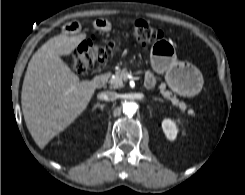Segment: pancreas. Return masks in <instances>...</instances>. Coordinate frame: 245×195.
Listing matches in <instances>:
<instances>
[{
  "label": "pancreas",
  "mask_w": 245,
  "mask_h": 195,
  "mask_svg": "<svg viewBox=\"0 0 245 195\" xmlns=\"http://www.w3.org/2000/svg\"><path fill=\"white\" fill-rule=\"evenodd\" d=\"M126 73V70H119L115 74H110L108 78V83L110 84V87L112 89H117L120 87H123V80L124 75ZM159 91L162 94V96L171 101L172 104L176 107H178L182 112H185L187 110L188 115L194 116V111L192 109H187V106L184 102H180L175 95L172 94V92L166 90V85L164 83L159 85Z\"/></svg>",
  "instance_id": "cf45deb5"
}]
</instances>
